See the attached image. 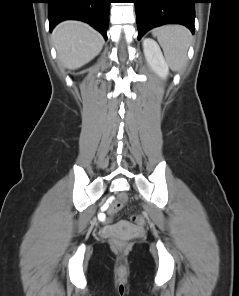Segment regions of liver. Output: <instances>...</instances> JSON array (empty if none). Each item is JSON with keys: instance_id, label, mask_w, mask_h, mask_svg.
<instances>
[{"instance_id": "6515ba94", "label": "liver", "mask_w": 239, "mask_h": 296, "mask_svg": "<svg viewBox=\"0 0 239 296\" xmlns=\"http://www.w3.org/2000/svg\"><path fill=\"white\" fill-rule=\"evenodd\" d=\"M57 55L64 67L75 70L90 62L102 50L103 36L86 23L64 21L52 33Z\"/></svg>"}]
</instances>
